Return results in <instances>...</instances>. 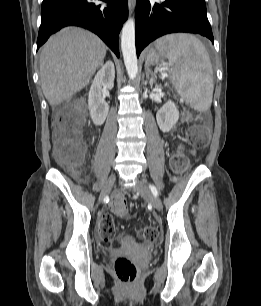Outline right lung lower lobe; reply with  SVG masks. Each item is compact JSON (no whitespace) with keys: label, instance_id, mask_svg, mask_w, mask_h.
Wrapping results in <instances>:
<instances>
[{"label":"right lung lower lobe","instance_id":"right-lung-lower-lobe-1","mask_svg":"<svg viewBox=\"0 0 261 306\" xmlns=\"http://www.w3.org/2000/svg\"><path fill=\"white\" fill-rule=\"evenodd\" d=\"M127 1L43 0L37 49L62 27L75 25L97 34L119 57V32L128 17Z\"/></svg>","mask_w":261,"mask_h":306}]
</instances>
